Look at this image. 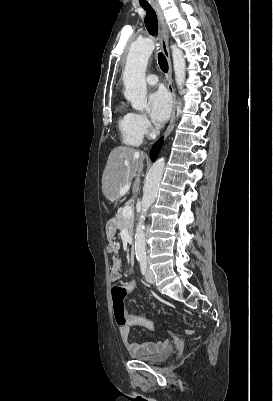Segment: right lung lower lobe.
I'll return each mask as SVG.
<instances>
[{
    "label": "right lung lower lobe",
    "instance_id": "obj_1",
    "mask_svg": "<svg viewBox=\"0 0 273 401\" xmlns=\"http://www.w3.org/2000/svg\"><path fill=\"white\" fill-rule=\"evenodd\" d=\"M163 144V139L160 138L152 147L151 151H150V157L152 161H155L161 147Z\"/></svg>",
    "mask_w": 273,
    "mask_h": 401
}]
</instances>
